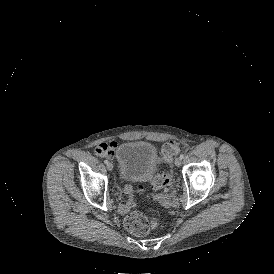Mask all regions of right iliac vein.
<instances>
[{"instance_id": "63e3f726", "label": "right iliac vein", "mask_w": 274, "mask_h": 274, "mask_svg": "<svg viewBox=\"0 0 274 274\" xmlns=\"http://www.w3.org/2000/svg\"><path fill=\"white\" fill-rule=\"evenodd\" d=\"M106 167L109 171H112L114 169V165L112 163H108Z\"/></svg>"}]
</instances>
